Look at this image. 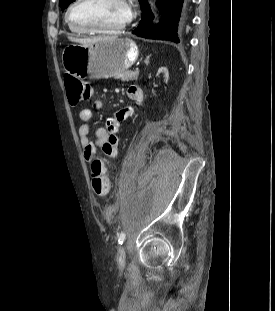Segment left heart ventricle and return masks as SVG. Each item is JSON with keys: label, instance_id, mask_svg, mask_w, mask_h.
I'll return each mask as SVG.
<instances>
[{"label": "left heart ventricle", "instance_id": "obj_1", "mask_svg": "<svg viewBox=\"0 0 275 311\" xmlns=\"http://www.w3.org/2000/svg\"><path fill=\"white\" fill-rule=\"evenodd\" d=\"M128 14V7L122 0H87L74 8L71 17L77 25L113 29L122 25Z\"/></svg>", "mask_w": 275, "mask_h": 311}]
</instances>
